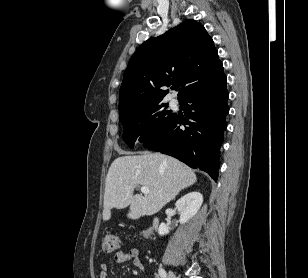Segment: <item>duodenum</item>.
Here are the masks:
<instances>
[{
	"label": "duodenum",
	"instance_id": "1",
	"mask_svg": "<svg viewBox=\"0 0 308 278\" xmlns=\"http://www.w3.org/2000/svg\"><path fill=\"white\" fill-rule=\"evenodd\" d=\"M158 225H159V220L155 217L152 222V227L154 229H157Z\"/></svg>",
	"mask_w": 308,
	"mask_h": 278
}]
</instances>
